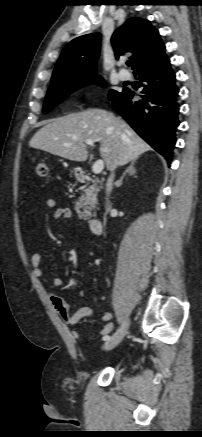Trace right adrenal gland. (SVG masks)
<instances>
[{
  "instance_id": "obj_1",
  "label": "right adrenal gland",
  "mask_w": 202,
  "mask_h": 437,
  "mask_svg": "<svg viewBox=\"0 0 202 437\" xmlns=\"http://www.w3.org/2000/svg\"><path fill=\"white\" fill-rule=\"evenodd\" d=\"M135 161H132L131 163H130V165L128 166V168L125 170V172L123 173V175L121 176V178L115 183V186L116 187H120L121 185H122V181H123V179H124V177H125V175L126 174H129V175H134L135 173H136V170H135V168H134V165H135Z\"/></svg>"
}]
</instances>
